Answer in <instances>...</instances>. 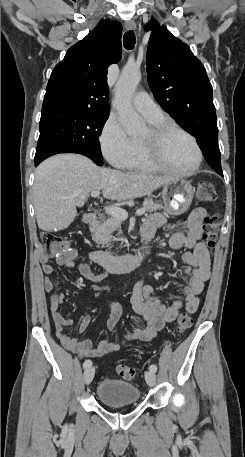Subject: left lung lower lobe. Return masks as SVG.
<instances>
[{
	"label": "left lung lower lobe",
	"instance_id": "0a47b994",
	"mask_svg": "<svg viewBox=\"0 0 245 457\" xmlns=\"http://www.w3.org/2000/svg\"><path fill=\"white\" fill-rule=\"evenodd\" d=\"M194 136L198 141V145L201 148L207 163L219 175L223 176L221 156L218 146L217 126H208L203 131H198Z\"/></svg>",
	"mask_w": 245,
	"mask_h": 457
}]
</instances>
